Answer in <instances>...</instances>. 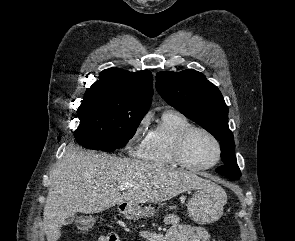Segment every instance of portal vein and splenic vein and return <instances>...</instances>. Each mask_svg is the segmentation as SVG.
I'll return each mask as SVG.
<instances>
[{
    "label": "portal vein and splenic vein",
    "instance_id": "obj_1",
    "mask_svg": "<svg viewBox=\"0 0 295 241\" xmlns=\"http://www.w3.org/2000/svg\"><path fill=\"white\" fill-rule=\"evenodd\" d=\"M128 187H129L128 184H121V185L119 186V188H120L121 190H125V189H127Z\"/></svg>",
    "mask_w": 295,
    "mask_h": 241
}]
</instances>
